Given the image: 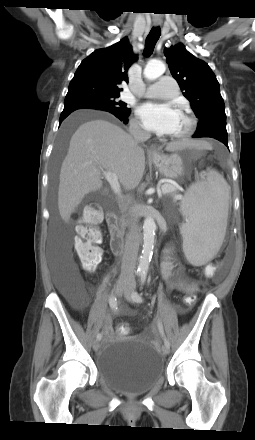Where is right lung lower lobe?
<instances>
[{
    "mask_svg": "<svg viewBox=\"0 0 255 440\" xmlns=\"http://www.w3.org/2000/svg\"><path fill=\"white\" fill-rule=\"evenodd\" d=\"M79 109H95V110H103V111H107L110 112L111 114L115 115L117 118H119L123 123H127L128 122V115L129 113H120L118 111L115 110H111L108 108H105L103 106H98V105H87V104H71V105H65L64 109L61 113L60 119H59V123L61 124V122L73 111L75 110H79Z\"/></svg>",
    "mask_w": 255,
    "mask_h": 440,
    "instance_id": "98d812e1",
    "label": "right lung lower lobe"
}]
</instances>
